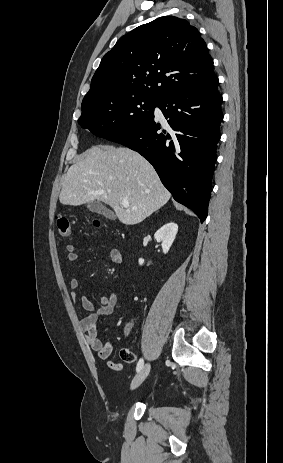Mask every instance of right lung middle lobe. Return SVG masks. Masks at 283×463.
Segmentation results:
<instances>
[{"instance_id":"1","label":"right lung middle lobe","mask_w":283,"mask_h":463,"mask_svg":"<svg viewBox=\"0 0 283 463\" xmlns=\"http://www.w3.org/2000/svg\"><path fill=\"white\" fill-rule=\"evenodd\" d=\"M158 100L144 96L111 95L82 105V128L98 137H111L134 129L154 115Z\"/></svg>"}]
</instances>
